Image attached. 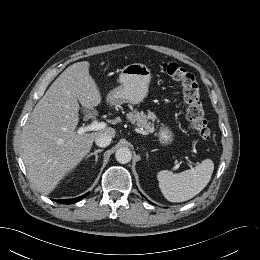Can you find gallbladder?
<instances>
[{"label": "gallbladder", "mask_w": 260, "mask_h": 260, "mask_svg": "<svg viewBox=\"0 0 260 260\" xmlns=\"http://www.w3.org/2000/svg\"><path fill=\"white\" fill-rule=\"evenodd\" d=\"M89 114L96 115V111L92 110L89 113H87L86 115L88 116Z\"/></svg>", "instance_id": "obj_1"}]
</instances>
